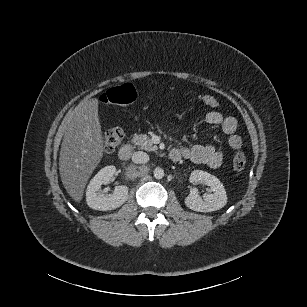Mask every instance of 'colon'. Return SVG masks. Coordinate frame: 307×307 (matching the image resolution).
Here are the masks:
<instances>
[{"label": "colon", "instance_id": "obj_1", "mask_svg": "<svg viewBox=\"0 0 307 307\" xmlns=\"http://www.w3.org/2000/svg\"><path fill=\"white\" fill-rule=\"evenodd\" d=\"M137 99V92L131 84H123L108 89L100 96V101L105 106H127L133 104ZM198 99L207 106L218 108L220 102L211 95H200ZM124 131L119 128H112L103 137V148L106 153L113 152L123 141ZM246 166L244 144L238 143L234 148L233 169L240 173Z\"/></svg>", "mask_w": 307, "mask_h": 307}]
</instances>
